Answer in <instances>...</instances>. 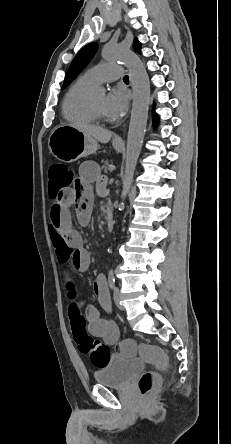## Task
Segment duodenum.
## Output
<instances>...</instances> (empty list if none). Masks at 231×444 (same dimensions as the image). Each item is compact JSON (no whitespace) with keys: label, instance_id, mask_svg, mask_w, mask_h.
I'll return each instance as SVG.
<instances>
[{"label":"duodenum","instance_id":"1","mask_svg":"<svg viewBox=\"0 0 231 444\" xmlns=\"http://www.w3.org/2000/svg\"><path fill=\"white\" fill-rule=\"evenodd\" d=\"M114 226V214L112 209H109L106 213V227L107 230H112Z\"/></svg>","mask_w":231,"mask_h":444}]
</instances>
